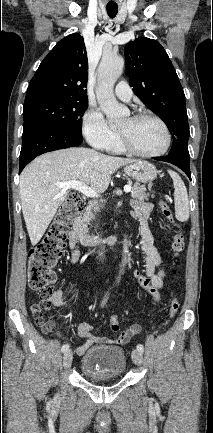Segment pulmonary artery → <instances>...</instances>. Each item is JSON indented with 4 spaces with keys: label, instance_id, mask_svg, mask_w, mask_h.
I'll return each instance as SVG.
<instances>
[{
    "label": "pulmonary artery",
    "instance_id": "obj_1",
    "mask_svg": "<svg viewBox=\"0 0 213 433\" xmlns=\"http://www.w3.org/2000/svg\"><path fill=\"white\" fill-rule=\"evenodd\" d=\"M116 96L125 102H129L133 96V92L126 81H120L115 88Z\"/></svg>",
    "mask_w": 213,
    "mask_h": 433
}]
</instances>
